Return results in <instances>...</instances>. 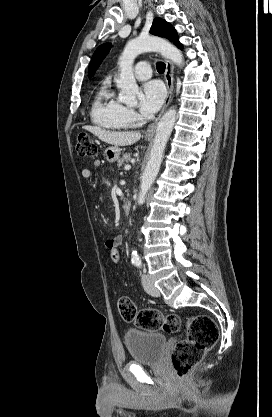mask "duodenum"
Segmentation results:
<instances>
[{
  "label": "duodenum",
  "instance_id": "obj_1",
  "mask_svg": "<svg viewBox=\"0 0 272 417\" xmlns=\"http://www.w3.org/2000/svg\"><path fill=\"white\" fill-rule=\"evenodd\" d=\"M122 209H123V212L125 214H129V212L131 210V201L127 200V199L124 200L123 203H122Z\"/></svg>",
  "mask_w": 272,
  "mask_h": 417
}]
</instances>
